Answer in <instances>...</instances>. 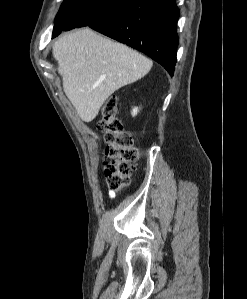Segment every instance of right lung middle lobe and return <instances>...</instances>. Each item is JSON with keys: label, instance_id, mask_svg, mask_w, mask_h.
<instances>
[{"label": "right lung middle lobe", "instance_id": "dd1d6c3e", "mask_svg": "<svg viewBox=\"0 0 247 299\" xmlns=\"http://www.w3.org/2000/svg\"><path fill=\"white\" fill-rule=\"evenodd\" d=\"M133 0H64L55 19L53 37L62 30L91 26L104 21L123 9Z\"/></svg>", "mask_w": 247, "mask_h": 299}]
</instances>
